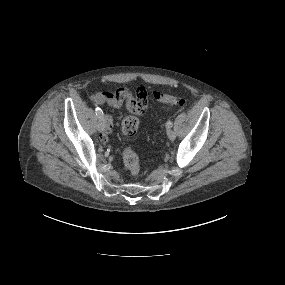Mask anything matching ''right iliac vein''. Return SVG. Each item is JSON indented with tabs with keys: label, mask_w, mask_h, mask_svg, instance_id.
Returning a JSON list of instances; mask_svg holds the SVG:
<instances>
[{
	"label": "right iliac vein",
	"mask_w": 285,
	"mask_h": 285,
	"mask_svg": "<svg viewBox=\"0 0 285 285\" xmlns=\"http://www.w3.org/2000/svg\"><path fill=\"white\" fill-rule=\"evenodd\" d=\"M105 126H106V123H105V120H104V117H100L99 120H98V131H103L105 129Z\"/></svg>",
	"instance_id": "right-iliac-vein-1"
}]
</instances>
